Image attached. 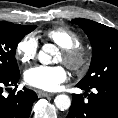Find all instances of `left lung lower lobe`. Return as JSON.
<instances>
[{
	"instance_id": "0a47b994",
	"label": "left lung lower lobe",
	"mask_w": 118,
	"mask_h": 118,
	"mask_svg": "<svg viewBox=\"0 0 118 118\" xmlns=\"http://www.w3.org/2000/svg\"><path fill=\"white\" fill-rule=\"evenodd\" d=\"M82 90L95 93L73 94L72 104L66 118H118V82H108L88 88L77 84Z\"/></svg>"
}]
</instances>
